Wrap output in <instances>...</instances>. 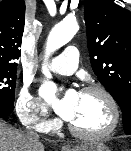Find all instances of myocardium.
Instances as JSON below:
<instances>
[{"label":"myocardium","instance_id":"myocardium-1","mask_svg":"<svg viewBox=\"0 0 131 151\" xmlns=\"http://www.w3.org/2000/svg\"><path fill=\"white\" fill-rule=\"evenodd\" d=\"M81 94H98L102 96L109 105L111 111V121L105 129L98 132L81 131L69 122V131L74 136L85 140H100L110 136L116 130L120 121V109L115 97L106 88L100 85L86 86L81 90Z\"/></svg>","mask_w":131,"mask_h":151}]
</instances>
